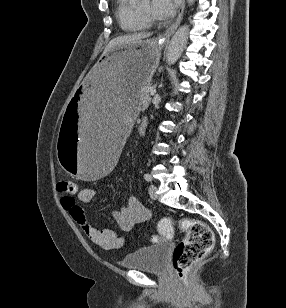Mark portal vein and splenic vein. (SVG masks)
Returning <instances> with one entry per match:
<instances>
[{
	"label": "portal vein and splenic vein",
	"mask_w": 286,
	"mask_h": 308,
	"mask_svg": "<svg viewBox=\"0 0 286 308\" xmlns=\"http://www.w3.org/2000/svg\"><path fill=\"white\" fill-rule=\"evenodd\" d=\"M149 91H150V94H151V95H154V94L156 93V89H155V88H150Z\"/></svg>",
	"instance_id": "1"
}]
</instances>
